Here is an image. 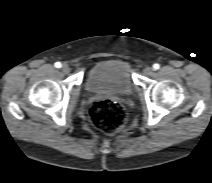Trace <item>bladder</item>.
<instances>
[{"label":"bladder","mask_w":212,"mask_h":183,"mask_svg":"<svg viewBox=\"0 0 212 183\" xmlns=\"http://www.w3.org/2000/svg\"><path fill=\"white\" fill-rule=\"evenodd\" d=\"M85 87L90 92L128 95L134 90L129 64L108 59L94 65L87 74Z\"/></svg>","instance_id":"31cf9c89"}]
</instances>
